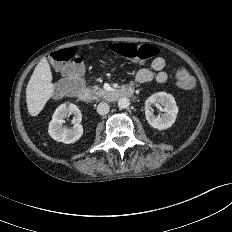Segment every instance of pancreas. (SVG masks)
<instances>
[{
	"label": "pancreas",
	"mask_w": 232,
	"mask_h": 232,
	"mask_svg": "<svg viewBox=\"0 0 232 232\" xmlns=\"http://www.w3.org/2000/svg\"><path fill=\"white\" fill-rule=\"evenodd\" d=\"M92 93H93L95 98L103 97V96H106L108 94L107 91L101 89L98 85L93 87Z\"/></svg>",
	"instance_id": "1"
}]
</instances>
